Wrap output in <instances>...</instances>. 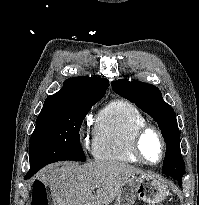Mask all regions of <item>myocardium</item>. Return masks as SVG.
Returning <instances> with one entry per match:
<instances>
[{"instance_id":"1","label":"myocardium","mask_w":199,"mask_h":205,"mask_svg":"<svg viewBox=\"0 0 199 205\" xmlns=\"http://www.w3.org/2000/svg\"><path fill=\"white\" fill-rule=\"evenodd\" d=\"M148 133H154L158 137L160 144H161V157L156 162L149 161L144 156V153L142 151V139ZM131 151L139 162L146 164V165H158L164 160L166 153H167L166 140L162 132L160 131V129H158L156 126L147 124L143 127L138 128L134 132L132 136V140H131Z\"/></svg>"}]
</instances>
